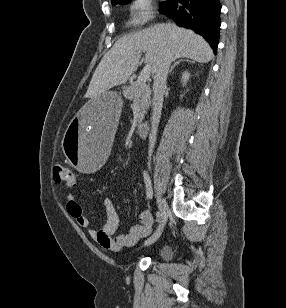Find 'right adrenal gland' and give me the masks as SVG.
Listing matches in <instances>:
<instances>
[{"mask_svg": "<svg viewBox=\"0 0 286 308\" xmlns=\"http://www.w3.org/2000/svg\"><path fill=\"white\" fill-rule=\"evenodd\" d=\"M181 62L194 63V61H191V60H188V59H180V60L176 61V62L172 65V67H171L170 70H169V73H171V72L173 71V69H174L179 63H181Z\"/></svg>", "mask_w": 286, "mask_h": 308, "instance_id": "2a0ac1e0", "label": "right adrenal gland"}]
</instances>
